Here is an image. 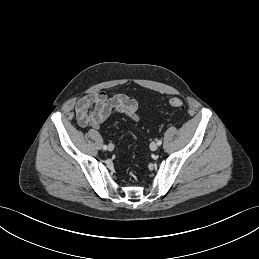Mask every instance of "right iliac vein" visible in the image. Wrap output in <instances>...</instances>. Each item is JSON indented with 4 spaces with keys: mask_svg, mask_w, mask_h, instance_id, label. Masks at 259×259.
<instances>
[{
    "mask_svg": "<svg viewBox=\"0 0 259 259\" xmlns=\"http://www.w3.org/2000/svg\"><path fill=\"white\" fill-rule=\"evenodd\" d=\"M108 150H109V151H113V150H114V145H113V144H109Z\"/></svg>",
    "mask_w": 259,
    "mask_h": 259,
    "instance_id": "63e3f726",
    "label": "right iliac vein"
}]
</instances>
